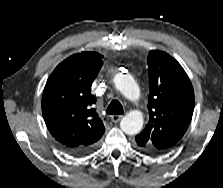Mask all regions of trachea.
Returning <instances> with one entry per match:
<instances>
[{
	"label": "trachea",
	"mask_w": 223,
	"mask_h": 188,
	"mask_svg": "<svg viewBox=\"0 0 223 188\" xmlns=\"http://www.w3.org/2000/svg\"><path fill=\"white\" fill-rule=\"evenodd\" d=\"M106 112L110 115H120L123 114V106L122 104L117 101L113 100L107 107Z\"/></svg>",
	"instance_id": "3493384b"
}]
</instances>
